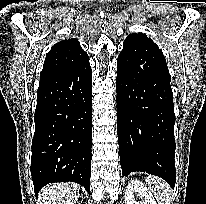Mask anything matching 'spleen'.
I'll return each instance as SVG.
<instances>
[{
  "instance_id": "3e777b00",
  "label": "spleen",
  "mask_w": 206,
  "mask_h": 204,
  "mask_svg": "<svg viewBox=\"0 0 206 204\" xmlns=\"http://www.w3.org/2000/svg\"><path fill=\"white\" fill-rule=\"evenodd\" d=\"M146 182L155 198L158 199L159 204H170L171 190L166 181L154 175H149Z\"/></svg>"
}]
</instances>
